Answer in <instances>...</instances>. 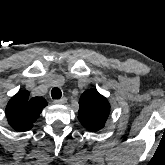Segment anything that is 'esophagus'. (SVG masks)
<instances>
[{
    "mask_svg": "<svg viewBox=\"0 0 165 165\" xmlns=\"http://www.w3.org/2000/svg\"><path fill=\"white\" fill-rule=\"evenodd\" d=\"M65 99L64 98H62V99H59V100H55L54 101V104H64L65 103Z\"/></svg>",
    "mask_w": 165,
    "mask_h": 165,
    "instance_id": "obj_1",
    "label": "esophagus"
}]
</instances>
